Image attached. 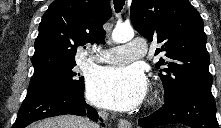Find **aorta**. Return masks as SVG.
I'll return each mask as SVG.
<instances>
[{
	"instance_id": "aorta-1",
	"label": "aorta",
	"mask_w": 221,
	"mask_h": 128,
	"mask_svg": "<svg viewBox=\"0 0 221 128\" xmlns=\"http://www.w3.org/2000/svg\"><path fill=\"white\" fill-rule=\"evenodd\" d=\"M134 37V30L130 26L117 25L112 32V40L115 43H126Z\"/></svg>"
}]
</instances>
